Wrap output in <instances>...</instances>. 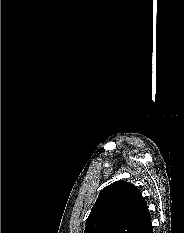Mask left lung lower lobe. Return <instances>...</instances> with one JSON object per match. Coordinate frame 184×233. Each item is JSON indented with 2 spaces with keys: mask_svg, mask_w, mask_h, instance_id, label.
Here are the masks:
<instances>
[{
  "mask_svg": "<svg viewBox=\"0 0 184 233\" xmlns=\"http://www.w3.org/2000/svg\"><path fill=\"white\" fill-rule=\"evenodd\" d=\"M144 233H153V229H152V224H151V220L150 223L148 224L146 230Z\"/></svg>",
  "mask_w": 184,
  "mask_h": 233,
  "instance_id": "1",
  "label": "left lung lower lobe"
}]
</instances>
